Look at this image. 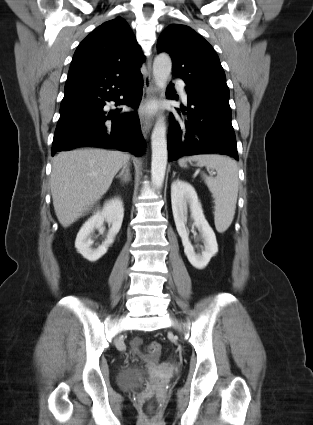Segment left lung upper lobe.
I'll return each instance as SVG.
<instances>
[{
  "label": "left lung upper lobe",
  "instance_id": "obj_1",
  "mask_svg": "<svg viewBox=\"0 0 313 425\" xmlns=\"http://www.w3.org/2000/svg\"><path fill=\"white\" fill-rule=\"evenodd\" d=\"M157 51L172 58V74L188 87L229 97V88L218 55L212 46L192 28L171 24L158 40Z\"/></svg>",
  "mask_w": 313,
  "mask_h": 425
}]
</instances>
